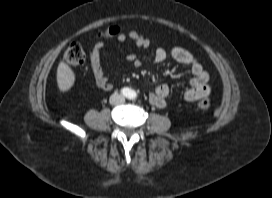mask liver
<instances>
[{"mask_svg":"<svg viewBox=\"0 0 272 198\" xmlns=\"http://www.w3.org/2000/svg\"><path fill=\"white\" fill-rule=\"evenodd\" d=\"M75 83V74L73 70L64 62H60L57 68V84L59 90L66 92L70 90Z\"/></svg>","mask_w":272,"mask_h":198,"instance_id":"liver-1","label":"liver"}]
</instances>
